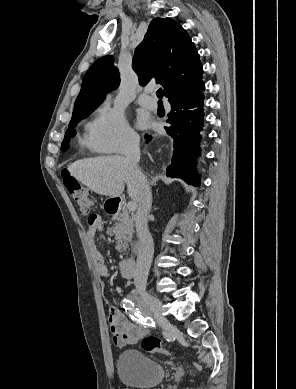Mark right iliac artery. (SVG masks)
Segmentation results:
<instances>
[{"label":"right iliac artery","instance_id":"right-iliac-artery-1","mask_svg":"<svg viewBox=\"0 0 296 389\" xmlns=\"http://www.w3.org/2000/svg\"><path fill=\"white\" fill-rule=\"evenodd\" d=\"M135 302V303H134ZM123 308L125 311L130 314L133 313V310L135 308H147L142 301L138 299H133L132 297L130 298H125L123 300Z\"/></svg>","mask_w":296,"mask_h":389}]
</instances>
